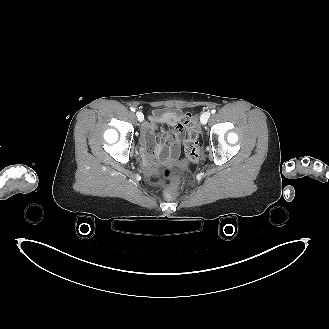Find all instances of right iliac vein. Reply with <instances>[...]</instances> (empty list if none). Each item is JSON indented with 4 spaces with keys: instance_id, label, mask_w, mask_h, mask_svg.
<instances>
[{
    "instance_id": "1",
    "label": "right iliac vein",
    "mask_w": 329,
    "mask_h": 329,
    "mask_svg": "<svg viewBox=\"0 0 329 329\" xmlns=\"http://www.w3.org/2000/svg\"><path fill=\"white\" fill-rule=\"evenodd\" d=\"M136 116H137L138 121L142 122L144 120V115L142 112H140V111L136 112Z\"/></svg>"
}]
</instances>
